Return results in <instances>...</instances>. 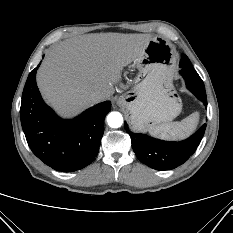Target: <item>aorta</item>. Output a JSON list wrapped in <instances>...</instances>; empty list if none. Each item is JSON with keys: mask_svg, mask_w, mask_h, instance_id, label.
I'll return each mask as SVG.
<instances>
[{"mask_svg": "<svg viewBox=\"0 0 233 233\" xmlns=\"http://www.w3.org/2000/svg\"><path fill=\"white\" fill-rule=\"evenodd\" d=\"M107 123L112 128H119L123 124V117L119 112H110L107 116Z\"/></svg>", "mask_w": 233, "mask_h": 233, "instance_id": "762f6f07", "label": "aorta"}]
</instances>
